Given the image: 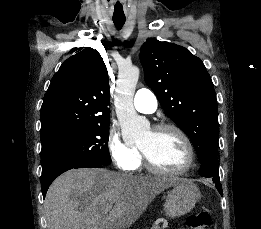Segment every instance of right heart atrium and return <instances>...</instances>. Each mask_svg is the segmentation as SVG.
Instances as JSON below:
<instances>
[{"label": "right heart atrium", "mask_w": 261, "mask_h": 229, "mask_svg": "<svg viewBox=\"0 0 261 229\" xmlns=\"http://www.w3.org/2000/svg\"><path fill=\"white\" fill-rule=\"evenodd\" d=\"M106 146L114 165L123 172L137 169L141 161L139 149L124 141L119 132L110 128L107 134Z\"/></svg>", "instance_id": "obj_1"}]
</instances>
